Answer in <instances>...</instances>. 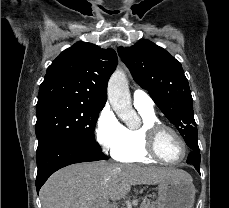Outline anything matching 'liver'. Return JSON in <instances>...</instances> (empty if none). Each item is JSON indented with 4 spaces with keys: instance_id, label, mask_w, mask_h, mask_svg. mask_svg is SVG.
<instances>
[{
    "instance_id": "1",
    "label": "liver",
    "mask_w": 229,
    "mask_h": 208,
    "mask_svg": "<svg viewBox=\"0 0 229 208\" xmlns=\"http://www.w3.org/2000/svg\"><path fill=\"white\" fill-rule=\"evenodd\" d=\"M184 170L83 162L55 172L40 190L42 208H115L112 202L125 198L131 186L159 184L162 180H187Z\"/></svg>"
}]
</instances>
